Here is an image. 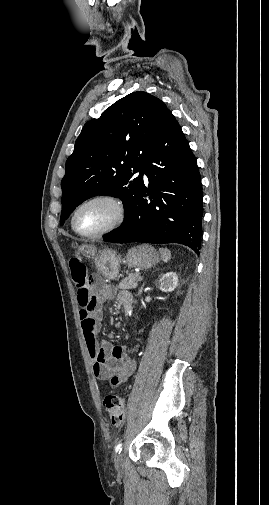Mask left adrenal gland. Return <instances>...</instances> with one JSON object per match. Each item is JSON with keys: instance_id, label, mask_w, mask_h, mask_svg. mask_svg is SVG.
I'll use <instances>...</instances> for the list:
<instances>
[{"instance_id": "obj_1", "label": "left adrenal gland", "mask_w": 269, "mask_h": 505, "mask_svg": "<svg viewBox=\"0 0 269 505\" xmlns=\"http://www.w3.org/2000/svg\"><path fill=\"white\" fill-rule=\"evenodd\" d=\"M143 288H144V283L142 284V286H141V288L139 290V294L142 292Z\"/></svg>"}]
</instances>
